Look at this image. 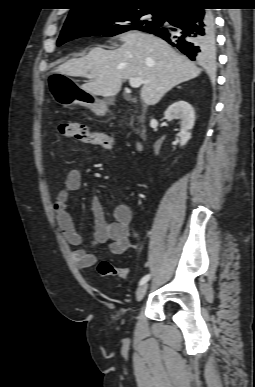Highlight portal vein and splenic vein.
I'll list each match as a JSON object with an SVG mask.
<instances>
[{"instance_id": "18ae733b", "label": "portal vein and splenic vein", "mask_w": 255, "mask_h": 387, "mask_svg": "<svg viewBox=\"0 0 255 387\" xmlns=\"http://www.w3.org/2000/svg\"><path fill=\"white\" fill-rule=\"evenodd\" d=\"M144 83L143 79L140 77L129 78V84L132 88H138Z\"/></svg>"}]
</instances>
